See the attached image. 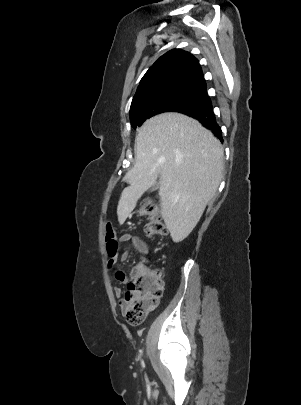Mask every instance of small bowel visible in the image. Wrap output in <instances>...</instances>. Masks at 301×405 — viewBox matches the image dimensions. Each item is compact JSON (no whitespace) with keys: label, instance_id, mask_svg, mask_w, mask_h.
Masks as SVG:
<instances>
[{"label":"small bowel","instance_id":"c3829d8e","mask_svg":"<svg viewBox=\"0 0 301 405\" xmlns=\"http://www.w3.org/2000/svg\"><path fill=\"white\" fill-rule=\"evenodd\" d=\"M120 242H130L133 246V248L138 251L141 254H147L148 253V246L147 244L141 240L138 236L132 235V234H124L119 238ZM129 254L127 251H123L119 253L118 251L113 255L110 256L108 260V266L113 267L117 260L120 259L122 261L126 260L128 258ZM116 278L121 282V283H127L128 282V277L127 275L121 270H117L116 272ZM115 294L118 297L122 296V288L121 287H115L114 288Z\"/></svg>","mask_w":301,"mask_h":405}]
</instances>
